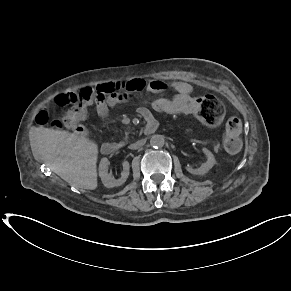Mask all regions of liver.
Here are the masks:
<instances>
[{
  "label": "liver",
  "mask_w": 291,
  "mask_h": 291,
  "mask_svg": "<svg viewBox=\"0 0 291 291\" xmlns=\"http://www.w3.org/2000/svg\"><path fill=\"white\" fill-rule=\"evenodd\" d=\"M30 145L36 160L45 161L63 180L76 188H97L98 145L64 130L33 127Z\"/></svg>",
  "instance_id": "obj_1"
}]
</instances>
